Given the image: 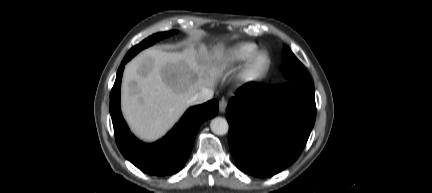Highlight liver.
<instances>
[{
    "instance_id": "6515ba94",
    "label": "liver",
    "mask_w": 432,
    "mask_h": 193,
    "mask_svg": "<svg viewBox=\"0 0 432 193\" xmlns=\"http://www.w3.org/2000/svg\"><path fill=\"white\" fill-rule=\"evenodd\" d=\"M227 67L223 43L211 51L190 42L181 51L149 48L124 69L121 106L131 131L151 142L162 137L189 107L188 100L212 88Z\"/></svg>"
}]
</instances>
